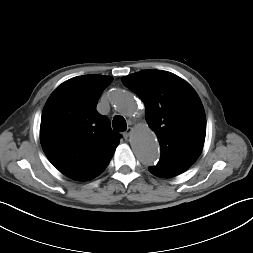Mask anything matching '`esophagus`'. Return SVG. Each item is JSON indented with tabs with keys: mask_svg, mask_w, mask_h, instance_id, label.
<instances>
[{
	"mask_svg": "<svg viewBox=\"0 0 253 253\" xmlns=\"http://www.w3.org/2000/svg\"><path fill=\"white\" fill-rule=\"evenodd\" d=\"M133 129L131 127H128L127 130L123 133V136L125 139H128L130 135L132 134Z\"/></svg>",
	"mask_w": 253,
	"mask_h": 253,
	"instance_id": "obj_1",
	"label": "esophagus"
}]
</instances>
